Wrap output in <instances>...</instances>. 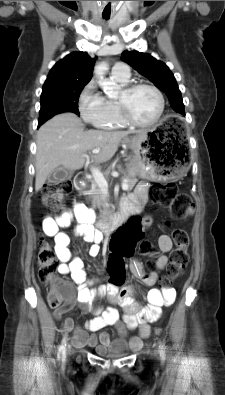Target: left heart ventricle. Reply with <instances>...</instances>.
<instances>
[{"label":"left heart ventricle","instance_id":"obj_1","mask_svg":"<svg viewBox=\"0 0 225 395\" xmlns=\"http://www.w3.org/2000/svg\"><path fill=\"white\" fill-rule=\"evenodd\" d=\"M119 98H124L121 93ZM131 117L142 123L152 121L159 109V102L155 93L148 88H140L127 98Z\"/></svg>","mask_w":225,"mask_h":395}]
</instances>
